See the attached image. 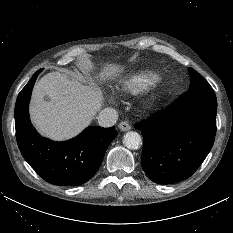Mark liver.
Returning a JSON list of instances; mask_svg holds the SVG:
<instances>
[{
  "label": "liver",
  "mask_w": 233,
  "mask_h": 233,
  "mask_svg": "<svg viewBox=\"0 0 233 233\" xmlns=\"http://www.w3.org/2000/svg\"><path fill=\"white\" fill-rule=\"evenodd\" d=\"M102 76L118 72L115 65H107ZM49 97V101L45 97ZM103 95L93 86L69 80L60 72L42 77L33 89L30 116L38 131L53 140H66L90 125L103 105Z\"/></svg>",
  "instance_id": "liver-1"
}]
</instances>
